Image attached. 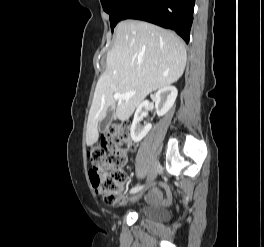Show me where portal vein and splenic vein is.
I'll return each instance as SVG.
<instances>
[{"instance_id":"18ae733b","label":"portal vein and splenic vein","mask_w":264,"mask_h":247,"mask_svg":"<svg viewBox=\"0 0 264 247\" xmlns=\"http://www.w3.org/2000/svg\"><path fill=\"white\" fill-rule=\"evenodd\" d=\"M135 95V93H115L113 95V98L115 100H127L130 99L131 97H133Z\"/></svg>"}]
</instances>
